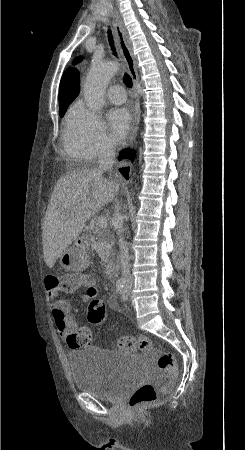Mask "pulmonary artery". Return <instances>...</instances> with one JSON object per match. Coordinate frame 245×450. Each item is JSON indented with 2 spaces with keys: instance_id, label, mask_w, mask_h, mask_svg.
Listing matches in <instances>:
<instances>
[{
  "instance_id": "1",
  "label": "pulmonary artery",
  "mask_w": 245,
  "mask_h": 450,
  "mask_svg": "<svg viewBox=\"0 0 245 450\" xmlns=\"http://www.w3.org/2000/svg\"><path fill=\"white\" fill-rule=\"evenodd\" d=\"M106 95L112 103L122 104L126 101L124 88L119 84H111L107 89Z\"/></svg>"
}]
</instances>
